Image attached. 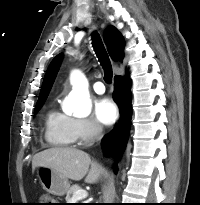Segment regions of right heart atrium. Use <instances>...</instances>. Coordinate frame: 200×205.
Here are the masks:
<instances>
[{
    "label": "right heart atrium",
    "mask_w": 200,
    "mask_h": 205,
    "mask_svg": "<svg viewBox=\"0 0 200 205\" xmlns=\"http://www.w3.org/2000/svg\"><path fill=\"white\" fill-rule=\"evenodd\" d=\"M71 128L74 140L81 144L90 143L101 133V128L90 118H71Z\"/></svg>",
    "instance_id": "obj_1"
}]
</instances>
